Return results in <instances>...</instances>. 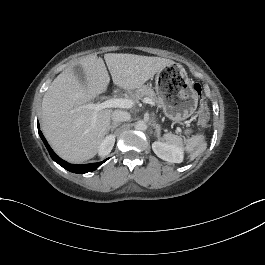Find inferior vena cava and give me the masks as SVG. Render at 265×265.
<instances>
[{
  "label": "inferior vena cava",
  "mask_w": 265,
  "mask_h": 265,
  "mask_svg": "<svg viewBox=\"0 0 265 265\" xmlns=\"http://www.w3.org/2000/svg\"><path fill=\"white\" fill-rule=\"evenodd\" d=\"M113 123H121L130 119V114L123 110H115L111 115Z\"/></svg>",
  "instance_id": "602c4592"
}]
</instances>
